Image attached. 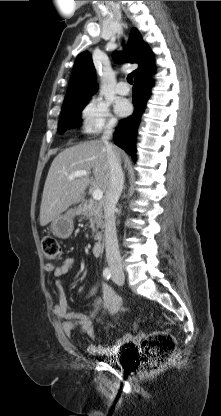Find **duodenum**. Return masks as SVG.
I'll use <instances>...</instances> for the list:
<instances>
[{
  "label": "duodenum",
  "instance_id": "duodenum-1",
  "mask_svg": "<svg viewBox=\"0 0 221 416\" xmlns=\"http://www.w3.org/2000/svg\"><path fill=\"white\" fill-rule=\"evenodd\" d=\"M101 249H102V241L101 240H96L92 243L91 254L94 257H98L101 253Z\"/></svg>",
  "mask_w": 221,
  "mask_h": 416
}]
</instances>
